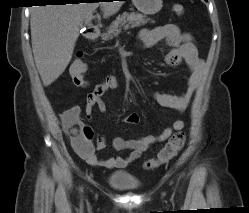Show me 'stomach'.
I'll use <instances>...</instances> for the list:
<instances>
[{
    "instance_id": "stomach-1",
    "label": "stomach",
    "mask_w": 249,
    "mask_h": 213,
    "mask_svg": "<svg viewBox=\"0 0 249 213\" xmlns=\"http://www.w3.org/2000/svg\"><path fill=\"white\" fill-rule=\"evenodd\" d=\"M133 4L138 9V11L144 13L153 15L158 13L162 6L163 1L162 0H133Z\"/></svg>"
}]
</instances>
